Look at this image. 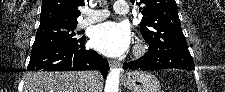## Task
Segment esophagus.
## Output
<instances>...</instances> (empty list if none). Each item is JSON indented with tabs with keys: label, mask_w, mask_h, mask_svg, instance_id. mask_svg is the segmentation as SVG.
I'll use <instances>...</instances> for the list:
<instances>
[{
	"label": "esophagus",
	"mask_w": 225,
	"mask_h": 92,
	"mask_svg": "<svg viewBox=\"0 0 225 92\" xmlns=\"http://www.w3.org/2000/svg\"><path fill=\"white\" fill-rule=\"evenodd\" d=\"M109 66H110V69H116L119 67V63L116 60H110Z\"/></svg>",
	"instance_id": "34e87169"
}]
</instances>
